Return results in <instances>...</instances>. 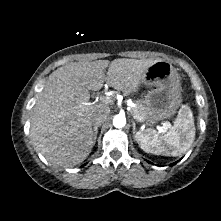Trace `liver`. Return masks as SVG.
Segmentation results:
<instances>
[{"label": "liver", "mask_w": 221, "mask_h": 221, "mask_svg": "<svg viewBox=\"0 0 221 221\" xmlns=\"http://www.w3.org/2000/svg\"><path fill=\"white\" fill-rule=\"evenodd\" d=\"M156 61L73 62L52 72L33 107L30 136L36 148L54 165L73 167L84 161L94 145L92 114L98 109L110 112L105 101L89 102V90H100L106 82L126 95L136 92Z\"/></svg>", "instance_id": "obj_1"}]
</instances>
